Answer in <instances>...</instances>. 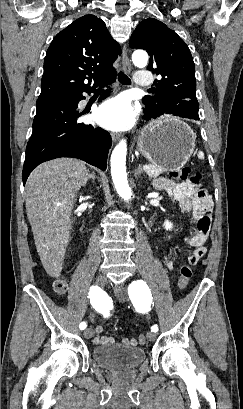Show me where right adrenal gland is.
Wrapping results in <instances>:
<instances>
[{
	"label": "right adrenal gland",
	"mask_w": 243,
	"mask_h": 409,
	"mask_svg": "<svg viewBox=\"0 0 243 409\" xmlns=\"http://www.w3.org/2000/svg\"><path fill=\"white\" fill-rule=\"evenodd\" d=\"M90 179H92L93 181L95 180V175H94V173H93V174H89V176H88V178L86 179V181H85L83 187L86 186L88 180H90Z\"/></svg>",
	"instance_id": "1"
}]
</instances>
